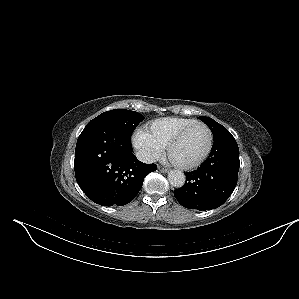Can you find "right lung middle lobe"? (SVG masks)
Returning a JSON list of instances; mask_svg holds the SVG:
<instances>
[{"label": "right lung middle lobe", "instance_id": "right-lung-middle-lobe-1", "mask_svg": "<svg viewBox=\"0 0 299 299\" xmlns=\"http://www.w3.org/2000/svg\"><path fill=\"white\" fill-rule=\"evenodd\" d=\"M143 119L144 116L138 112L125 109H114L100 114L90 122L100 121L111 124L128 136H131L134 129Z\"/></svg>", "mask_w": 299, "mask_h": 299}]
</instances>
